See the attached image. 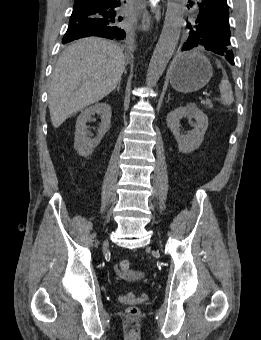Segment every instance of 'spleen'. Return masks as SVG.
I'll list each match as a JSON object with an SVG mask.
<instances>
[{
  "label": "spleen",
  "mask_w": 261,
  "mask_h": 340,
  "mask_svg": "<svg viewBox=\"0 0 261 340\" xmlns=\"http://www.w3.org/2000/svg\"><path fill=\"white\" fill-rule=\"evenodd\" d=\"M219 89L221 93L220 102L225 106L232 104L234 101L232 87L226 76H223L219 84Z\"/></svg>",
  "instance_id": "1"
}]
</instances>
